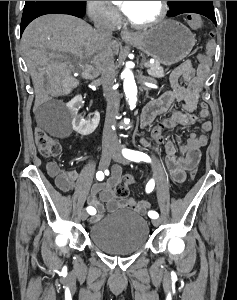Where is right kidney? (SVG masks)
I'll return each mask as SVG.
<instances>
[{"mask_svg": "<svg viewBox=\"0 0 237 300\" xmlns=\"http://www.w3.org/2000/svg\"><path fill=\"white\" fill-rule=\"evenodd\" d=\"M82 105L81 95H76L74 99H71L68 103L70 111H72V127L73 131H77L79 135H91L97 129L100 121V113H94L93 117L89 119H83L81 115H78L79 107Z\"/></svg>", "mask_w": 237, "mask_h": 300, "instance_id": "ca27d5eb", "label": "right kidney"}]
</instances>
